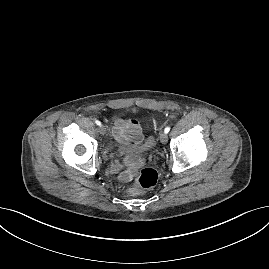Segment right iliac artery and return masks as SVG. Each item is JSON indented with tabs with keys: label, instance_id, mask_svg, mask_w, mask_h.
Listing matches in <instances>:
<instances>
[{
	"label": "right iliac artery",
	"instance_id": "right-iliac-artery-1",
	"mask_svg": "<svg viewBox=\"0 0 269 269\" xmlns=\"http://www.w3.org/2000/svg\"><path fill=\"white\" fill-rule=\"evenodd\" d=\"M95 123H96V125H99V126L101 125V122L98 120H96Z\"/></svg>",
	"mask_w": 269,
	"mask_h": 269
}]
</instances>
